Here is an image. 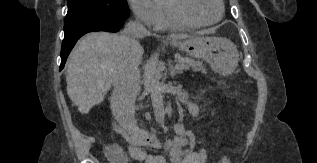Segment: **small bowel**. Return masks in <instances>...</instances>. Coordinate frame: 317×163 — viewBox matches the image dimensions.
Returning a JSON list of instances; mask_svg holds the SVG:
<instances>
[{
    "label": "small bowel",
    "mask_w": 317,
    "mask_h": 163,
    "mask_svg": "<svg viewBox=\"0 0 317 163\" xmlns=\"http://www.w3.org/2000/svg\"><path fill=\"white\" fill-rule=\"evenodd\" d=\"M183 98V97H182ZM189 113L192 116L198 114V108L194 104H189ZM176 137L173 140L166 142V149L171 153L172 163H206L207 152L206 150H195L192 146L188 145L192 139V134L187 131L182 124L178 123L175 126ZM131 158L142 163H167L165 157L161 155H148L140 147H132L129 152ZM106 156L110 163H128L127 155L123 153L118 157H113L106 150Z\"/></svg>",
    "instance_id": "small-bowel-1"
}]
</instances>
